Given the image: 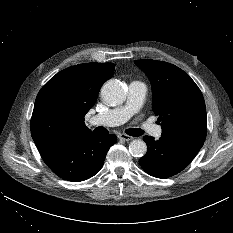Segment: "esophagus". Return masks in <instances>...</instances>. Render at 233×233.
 <instances>
[{
	"mask_svg": "<svg viewBox=\"0 0 233 233\" xmlns=\"http://www.w3.org/2000/svg\"><path fill=\"white\" fill-rule=\"evenodd\" d=\"M118 138H119L120 140H122V141H130V140H133V139H134V137L129 136V135L124 134V133L119 134V135H118Z\"/></svg>",
	"mask_w": 233,
	"mask_h": 233,
	"instance_id": "esophagus-1",
	"label": "esophagus"
}]
</instances>
